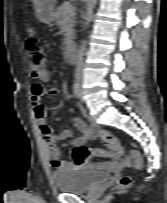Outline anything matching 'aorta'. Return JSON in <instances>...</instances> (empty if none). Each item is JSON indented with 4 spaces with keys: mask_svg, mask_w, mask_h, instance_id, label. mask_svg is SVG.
<instances>
[{
    "mask_svg": "<svg viewBox=\"0 0 167 203\" xmlns=\"http://www.w3.org/2000/svg\"><path fill=\"white\" fill-rule=\"evenodd\" d=\"M96 5V0H87L86 3V15H85V26H88L93 17V10Z\"/></svg>",
    "mask_w": 167,
    "mask_h": 203,
    "instance_id": "obj_1",
    "label": "aorta"
}]
</instances>
